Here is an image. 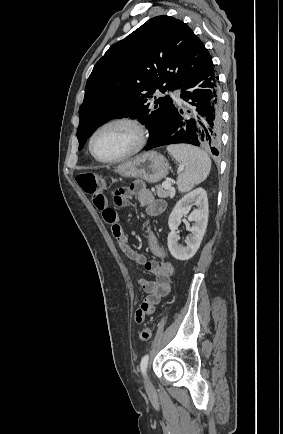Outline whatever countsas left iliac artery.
Wrapping results in <instances>:
<instances>
[{
    "label": "left iliac artery",
    "instance_id": "1",
    "mask_svg": "<svg viewBox=\"0 0 283 434\" xmlns=\"http://www.w3.org/2000/svg\"><path fill=\"white\" fill-rule=\"evenodd\" d=\"M148 360H149L148 354L144 355L141 359L140 368H141L143 375L146 374L147 366H148Z\"/></svg>",
    "mask_w": 283,
    "mask_h": 434
}]
</instances>
